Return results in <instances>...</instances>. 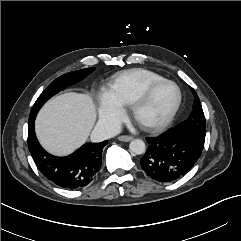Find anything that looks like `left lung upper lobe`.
Masks as SVG:
<instances>
[{"label": "left lung upper lobe", "mask_w": 241, "mask_h": 241, "mask_svg": "<svg viewBox=\"0 0 241 241\" xmlns=\"http://www.w3.org/2000/svg\"><path fill=\"white\" fill-rule=\"evenodd\" d=\"M192 92L195 96L193 111L187 120L177 125L174 129L188 133L199 146L203 147L206 134L205 116L194 89H192Z\"/></svg>", "instance_id": "obj_1"}]
</instances>
